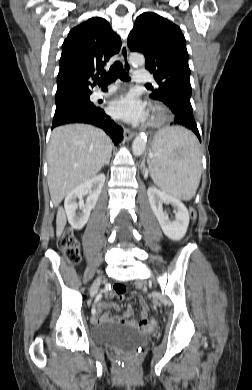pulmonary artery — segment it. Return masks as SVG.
Returning a JSON list of instances; mask_svg holds the SVG:
<instances>
[{
	"mask_svg": "<svg viewBox=\"0 0 252 390\" xmlns=\"http://www.w3.org/2000/svg\"><path fill=\"white\" fill-rule=\"evenodd\" d=\"M133 80L135 82H149L152 80V77L147 71L136 70L133 72ZM116 90V86L110 85L106 91H96L93 94L95 100L103 98L112 94Z\"/></svg>",
	"mask_w": 252,
	"mask_h": 390,
	"instance_id": "pulmonary-artery-1",
	"label": "pulmonary artery"
}]
</instances>
